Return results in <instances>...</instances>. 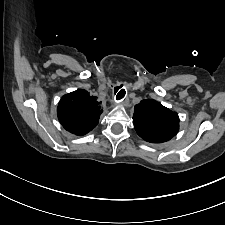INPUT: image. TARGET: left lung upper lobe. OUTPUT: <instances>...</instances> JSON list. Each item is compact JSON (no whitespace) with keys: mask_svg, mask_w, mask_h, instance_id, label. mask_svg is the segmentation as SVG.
Segmentation results:
<instances>
[{"mask_svg":"<svg viewBox=\"0 0 225 225\" xmlns=\"http://www.w3.org/2000/svg\"><path fill=\"white\" fill-rule=\"evenodd\" d=\"M133 122L140 137L150 143H162L173 138L179 130L178 114L152 99L135 105Z\"/></svg>","mask_w":225,"mask_h":225,"instance_id":"obj_1","label":"left lung upper lobe"}]
</instances>
